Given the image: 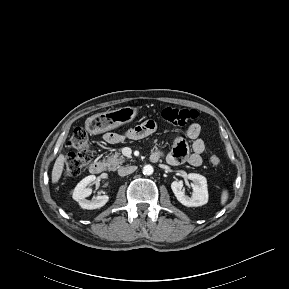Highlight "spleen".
I'll return each instance as SVG.
<instances>
[{
	"label": "spleen",
	"mask_w": 289,
	"mask_h": 289,
	"mask_svg": "<svg viewBox=\"0 0 289 289\" xmlns=\"http://www.w3.org/2000/svg\"><path fill=\"white\" fill-rule=\"evenodd\" d=\"M228 197H229L228 191L224 189L221 194V205H224L227 202Z\"/></svg>",
	"instance_id": "obj_1"
}]
</instances>
